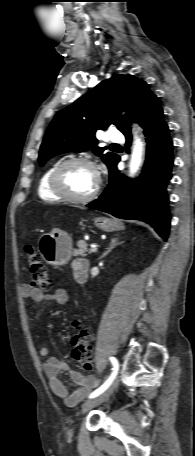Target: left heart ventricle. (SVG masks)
<instances>
[{"label": "left heart ventricle", "instance_id": "b2bd125f", "mask_svg": "<svg viewBox=\"0 0 195 456\" xmlns=\"http://www.w3.org/2000/svg\"><path fill=\"white\" fill-rule=\"evenodd\" d=\"M62 183L69 194L81 197L93 190L96 175L90 167L84 164H73L64 170Z\"/></svg>", "mask_w": 195, "mask_h": 456}]
</instances>
